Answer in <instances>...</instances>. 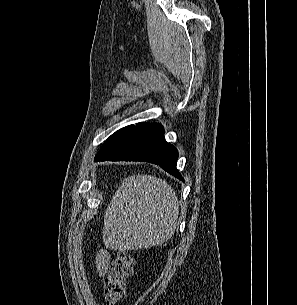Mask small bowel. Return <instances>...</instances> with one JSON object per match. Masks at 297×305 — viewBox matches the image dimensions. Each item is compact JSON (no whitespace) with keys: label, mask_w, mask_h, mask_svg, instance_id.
Listing matches in <instances>:
<instances>
[{"label":"small bowel","mask_w":297,"mask_h":305,"mask_svg":"<svg viewBox=\"0 0 297 305\" xmlns=\"http://www.w3.org/2000/svg\"><path fill=\"white\" fill-rule=\"evenodd\" d=\"M110 262V254L107 251H99L96 255V268L98 274L103 277L106 272Z\"/></svg>","instance_id":"obj_1"}]
</instances>
